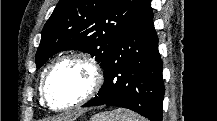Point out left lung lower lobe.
I'll return each instance as SVG.
<instances>
[{
    "label": "left lung lower lobe",
    "instance_id": "left-lung-lower-lobe-1",
    "mask_svg": "<svg viewBox=\"0 0 217 121\" xmlns=\"http://www.w3.org/2000/svg\"><path fill=\"white\" fill-rule=\"evenodd\" d=\"M163 62L150 0H141L104 66V83L82 107L111 105L162 121Z\"/></svg>",
    "mask_w": 217,
    "mask_h": 121
}]
</instances>
